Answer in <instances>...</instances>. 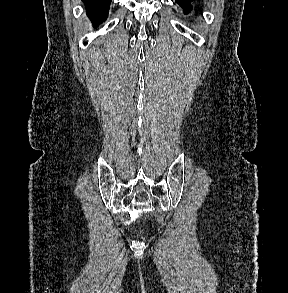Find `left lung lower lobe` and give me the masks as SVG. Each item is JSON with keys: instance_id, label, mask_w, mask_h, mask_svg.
I'll use <instances>...</instances> for the list:
<instances>
[{"instance_id": "1", "label": "left lung lower lobe", "mask_w": 288, "mask_h": 293, "mask_svg": "<svg viewBox=\"0 0 288 293\" xmlns=\"http://www.w3.org/2000/svg\"><path fill=\"white\" fill-rule=\"evenodd\" d=\"M195 0H176V3H178L182 8H184V13L187 14L192 10V2Z\"/></svg>"}]
</instances>
